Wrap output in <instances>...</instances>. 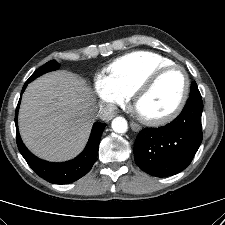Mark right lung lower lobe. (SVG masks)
<instances>
[{
	"mask_svg": "<svg viewBox=\"0 0 225 225\" xmlns=\"http://www.w3.org/2000/svg\"><path fill=\"white\" fill-rule=\"evenodd\" d=\"M29 82L31 81L27 80L21 94ZM19 104L20 100L15 114L17 146L24 159L36 174L50 183L67 184L80 179L90 171L98 154L101 134L106 126L105 123L97 122L94 124L88 144L78 157L68 162L51 163L32 155L23 144L17 127Z\"/></svg>",
	"mask_w": 225,
	"mask_h": 225,
	"instance_id": "right-lung-lower-lobe-1",
	"label": "right lung lower lobe"
}]
</instances>
